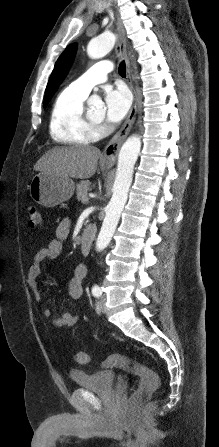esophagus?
<instances>
[{
    "label": "esophagus",
    "instance_id": "esophagus-1",
    "mask_svg": "<svg viewBox=\"0 0 219 447\" xmlns=\"http://www.w3.org/2000/svg\"><path fill=\"white\" fill-rule=\"evenodd\" d=\"M117 26H118V32L120 36V53L122 58L125 60L126 63V72H127V82L129 84V87L133 93V104L129 111V114L127 116V119L125 120L122 127L115 133V135L111 138L108 145L104 149L103 153V159L106 160L107 163L114 164L118 153L120 150V147L128 134L130 133L132 126L135 122L136 114H137V91L136 87L134 86L133 80H132V70L130 66V61L127 53V41L125 38V32L122 25V22L120 18H117Z\"/></svg>",
    "mask_w": 219,
    "mask_h": 447
}]
</instances>
